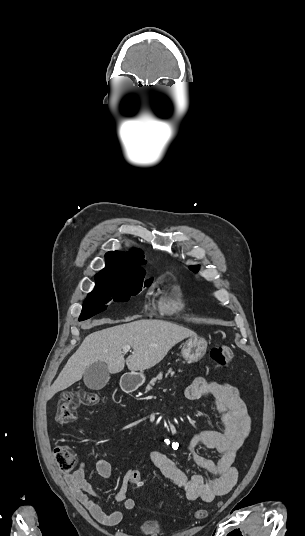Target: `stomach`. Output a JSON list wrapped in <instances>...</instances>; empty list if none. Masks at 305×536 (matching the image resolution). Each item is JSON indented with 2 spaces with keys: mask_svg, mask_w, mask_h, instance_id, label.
<instances>
[{
  "mask_svg": "<svg viewBox=\"0 0 305 536\" xmlns=\"http://www.w3.org/2000/svg\"><path fill=\"white\" fill-rule=\"evenodd\" d=\"M206 350V340L195 336V338H189V340L183 344L181 354L186 362H199L204 354H206ZM127 380L133 388H139V386L144 384V376H140V374H128Z\"/></svg>",
  "mask_w": 305,
  "mask_h": 536,
  "instance_id": "stomach-1",
  "label": "stomach"
}]
</instances>
